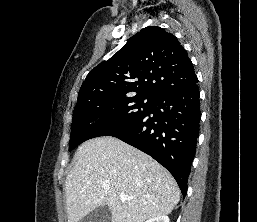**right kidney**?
<instances>
[{
	"label": "right kidney",
	"mask_w": 257,
	"mask_h": 222,
	"mask_svg": "<svg viewBox=\"0 0 257 222\" xmlns=\"http://www.w3.org/2000/svg\"><path fill=\"white\" fill-rule=\"evenodd\" d=\"M146 222H170L167 215H161L147 220Z\"/></svg>",
	"instance_id": "ca27d5eb"
}]
</instances>
